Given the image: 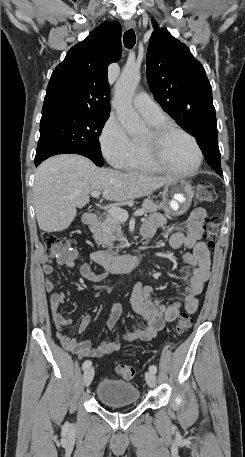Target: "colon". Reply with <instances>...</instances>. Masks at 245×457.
Segmentation results:
<instances>
[{
	"mask_svg": "<svg viewBox=\"0 0 245 457\" xmlns=\"http://www.w3.org/2000/svg\"><path fill=\"white\" fill-rule=\"evenodd\" d=\"M197 198L202 202H213L216 199V191L214 185L210 182H201L196 188ZM219 217L216 215L210 216L205 220V240L208 247L212 248L215 245L218 230H219ZM42 242L46 249L47 255H71L74 250L70 242L61 236L52 232H45L42 234ZM192 325V319L188 313H181L178 317L175 330L178 334L184 333ZM117 373L124 379L130 380L136 375V369L127 363H118L116 365Z\"/></svg>",
	"mask_w": 245,
	"mask_h": 457,
	"instance_id": "colon-1",
	"label": "colon"
}]
</instances>
